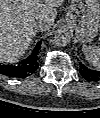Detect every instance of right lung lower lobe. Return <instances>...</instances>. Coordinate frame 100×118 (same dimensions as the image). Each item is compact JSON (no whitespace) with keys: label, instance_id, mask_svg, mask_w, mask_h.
Returning <instances> with one entry per match:
<instances>
[{"label":"right lung lower lobe","instance_id":"1","mask_svg":"<svg viewBox=\"0 0 100 118\" xmlns=\"http://www.w3.org/2000/svg\"><path fill=\"white\" fill-rule=\"evenodd\" d=\"M41 42H38L32 54L21 61L18 66L0 65V73L17 78H25L30 76L35 70L38 69L37 54L40 50Z\"/></svg>","mask_w":100,"mask_h":118}]
</instances>
